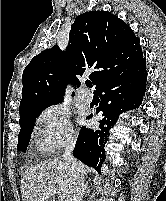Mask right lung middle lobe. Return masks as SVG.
Listing matches in <instances>:
<instances>
[{
	"mask_svg": "<svg viewBox=\"0 0 166 201\" xmlns=\"http://www.w3.org/2000/svg\"><path fill=\"white\" fill-rule=\"evenodd\" d=\"M43 109L34 110L20 116L19 124L21 126V130L18 135V150L24 152L26 151V148L31 138V133L34 126V120L41 113Z\"/></svg>",
	"mask_w": 166,
	"mask_h": 201,
	"instance_id": "1",
	"label": "right lung middle lobe"
}]
</instances>
